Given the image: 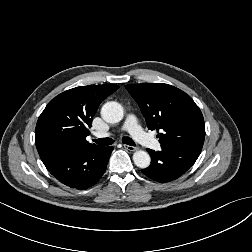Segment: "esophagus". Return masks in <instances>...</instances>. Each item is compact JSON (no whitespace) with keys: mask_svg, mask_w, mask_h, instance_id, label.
I'll list each match as a JSON object with an SVG mask.
<instances>
[{"mask_svg":"<svg viewBox=\"0 0 252 252\" xmlns=\"http://www.w3.org/2000/svg\"><path fill=\"white\" fill-rule=\"evenodd\" d=\"M123 146H124L125 149H127L129 151H136V150H138V148L135 147V146H130V145H127V144H124Z\"/></svg>","mask_w":252,"mask_h":252,"instance_id":"34e87169","label":"esophagus"}]
</instances>
